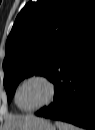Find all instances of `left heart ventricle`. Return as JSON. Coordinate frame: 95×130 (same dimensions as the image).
Listing matches in <instances>:
<instances>
[{
	"instance_id": "obj_1",
	"label": "left heart ventricle",
	"mask_w": 95,
	"mask_h": 130,
	"mask_svg": "<svg viewBox=\"0 0 95 130\" xmlns=\"http://www.w3.org/2000/svg\"><path fill=\"white\" fill-rule=\"evenodd\" d=\"M48 97V87L45 83L33 80L22 86L18 95L21 107L30 109L43 103Z\"/></svg>"
}]
</instances>
